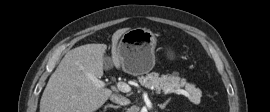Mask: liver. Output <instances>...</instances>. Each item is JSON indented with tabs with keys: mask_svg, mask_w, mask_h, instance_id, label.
Segmentation results:
<instances>
[{
	"mask_svg": "<svg viewBox=\"0 0 270 112\" xmlns=\"http://www.w3.org/2000/svg\"><path fill=\"white\" fill-rule=\"evenodd\" d=\"M129 28L112 35V63L121 67L117 52L120 37ZM106 44H86L66 53L44 89L40 112H94L111 96L112 91L97 87L92 79L103 76Z\"/></svg>",
	"mask_w": 270,
	"mask_h": 112,
	"instance_id": "6515ba94",
	"label": "liver"
}]
</instances>
